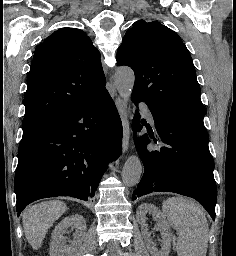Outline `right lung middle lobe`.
Returning a JSON list of instances; mask_svg holds the SVG:
<instances>
[{
    "label": "right lung middle lobe",
    "instance_id": "obj_1",
    "mask_svg": "<svg viewBox=\"0 0 236 256\" xmlns=\"http://www.w3.org/2000/svg\"><path fill=\"white\" fill-rule=\"evenodd\" d=\"M49 120H31L23 122V136L29 135L43 126L47 125Z\"/></svg>",
    "mask_w": 236,
    "mask_h": 256
}]
</instances>
